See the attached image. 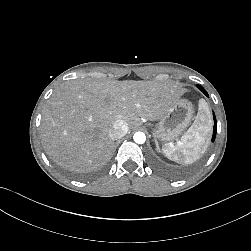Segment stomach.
Here are the masks:
<instances>
[{
    "label": "stomach",
    "instance_id": "stomach-1",
    "mask_svg": "<svg viewBox=\"0 0 251 251\" xmlns=\"http://www.w3.org/2000/svg\"><path fill=\"white\" fill-rule=\"evenodd\" d=\"M180 118L181 116L176 121L175 129H177L178 125L181 124L179 122ZM164 124H165V120L163 119L156 125V128L153 131V135L155 138H158L163 142L170 141L169 143H173V141L175 140L176 144H178L179 142L184 143L188 140L185 138L187 131L185 132L184 129H182L180 132L174 133L172 132V130H170V128H166Z\"/></svg>",
    "mask_w": 251,
    "mask_h": 251
}]
</instances>
